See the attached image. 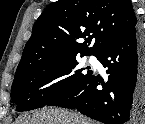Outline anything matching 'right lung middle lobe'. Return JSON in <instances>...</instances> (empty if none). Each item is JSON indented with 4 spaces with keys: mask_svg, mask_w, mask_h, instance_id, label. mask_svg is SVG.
<instances>
[{
    "mask_svg": "<svg viewBox=\"0 0 145 124\" xmlns=\"http://www.w3.org/2000/svg\"><path fill=\"white\" fill-rule=\"evenodd\" d=\"M77 65L76 55L56 58L43 61L14 77L11 98L17 105L16 110L28 111L44 107L91 74L89 67L86 68L87 74H84L82 71L85 69L76 70Z\"/></svg>",
    "mask_w": 145,
    "mask_h": 124,
    "instance_id": "1",
    "label": "right lung middle lobe"
}]
</instances>
